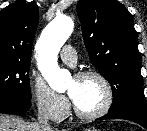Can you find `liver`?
Here are the masks:
<instances>
[{
  "label": "liver",
  "mask_w": 147,
  "mask_h": 131,
  "mask_svg": "<svg viewBox=\"0 0 147 131\" xmlns=\"http://www.w3.org/2000/svg\"><path fill=\"white\" fill-rule=\"evenodd\" d=\"M0 131H54L46 130L37 122H26L19 116L0 114Z\"/></svg>",
  "instance_id": "obj_1"
}]
</instances>
